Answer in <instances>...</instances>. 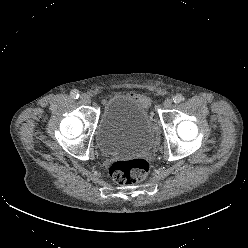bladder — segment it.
I'll return each mask as SVG.
<instances>
[{"mask_svg":"<svg viewBox=\"0 0 248 248\" xmlns=\"http://www.w3.org/2000/svg\"><path fill=\"white\" fill-rule=\"evenodd\" d=\"M95 141L105 154H136L155 146L156 134L148 102L128 93H116L103 106Z\"/></svg>","mask_w":248,"mask_h":248,"instance_id":"1","label":"bladder"}]
</instances>
